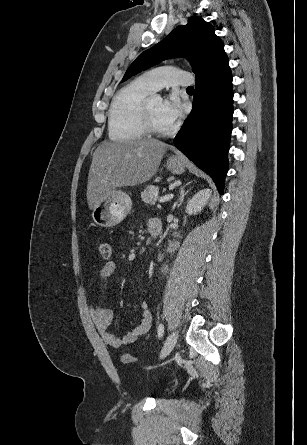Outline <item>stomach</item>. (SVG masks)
<instances>
[{
  "mask_svg": "<svg viewBox=\"0 0 307 445\" xmlns=\"http://www.w3.org/2000/svg\"><path fill=\"white\" fill-rule=\"evenodd\" d=\"M167 168L175 172V174L184 172V166L180 160H167ZM131 208V196L127 192H123V190H113L107 198L101 200L93 208L92 218L99 227L111 229V227H116V225L122 223V220L126 218Z\"/></svg>",
  "mask_w": 307,
  "mask_h": 445,
  "instance_id": "stomach-1",
  "label": "stomach"
}]
</instances>
